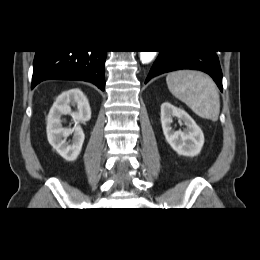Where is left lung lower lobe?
<instances>
[{"label":"left lung lower lobe","mask_w":260,"mask_h":260,"mask_svg":"<svg viewBox=\"0 0 260 260\" xmlns=\"http://www.w3.org/2000/svg\"><path fill=\"white\" fill-rule=\"evenodd\" d=\"M180 69L201 70L209 74L222 91V72L215 51H160L145 83L157 75Z\"/></svg>","instance_id":"0a47b994"}]
</instances>
